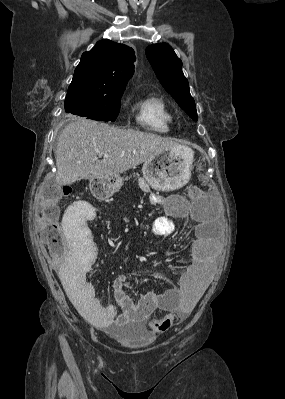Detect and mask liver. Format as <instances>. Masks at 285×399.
I'll return each mask as SVG.
<instances>
[{
  "mask_svg": "<svg viewBox=\"0 0 285 399\" xmlns=\"http://www.w3.org/2000/svg\"><path fill=\"white\" fill-rule=\"evenodd\" d=\"M172 139L78 117L61 132L56 149L55 182L98 179L136 168L154 155L178 147ZM107 154L99 160L97 155Z\"/></svg>",
  "mask_w": 285,
  "mask_h": 399,
  "instance_id": "obj_1",
  "label": "liver"
}]
</instances>
